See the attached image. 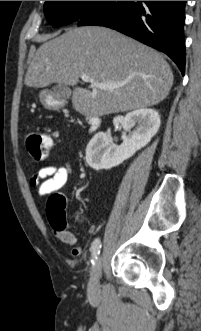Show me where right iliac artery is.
<instances>
[{
	"label": "right iliac artery",
	"mask_w": 201,
	"mask_h": 331,
	"mask_svg": "<svg viewBox=\"0 0 201 331\" xmlns=\"http://www.w3.org/2000/svg\"><path fill=\"white\" fill-rule=\"evenodd\" d=\"M100 248H101V241L99 238L95 239L94 242L91 245V253H92V260L91 262L93 263V261L95 259H97V256L100 253Z\"/></svg>",
	"instance_id": "right-iliac-artery-1"
}]
</instances>
